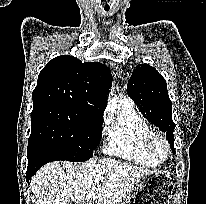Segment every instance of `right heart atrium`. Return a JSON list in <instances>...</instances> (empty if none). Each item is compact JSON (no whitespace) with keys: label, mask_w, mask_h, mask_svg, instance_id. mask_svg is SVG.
I'll list each match as a JSON object with an SVG mask.
<instances>
[{"label":"right heart atrium","mask_w":206,"mask_h":204,"mask_svg":"<svg viewBox=\"0 0 206 204\" xmlns=\"http://www.w3.org/2000/svg\"><path fill=\"white\" fill-rule=\"evenodd\" d=\"M105 119H106V117H105V115L103 116V120L105 121Z\"/></svg>","instance_id":"obj_1"}]
</instances>
